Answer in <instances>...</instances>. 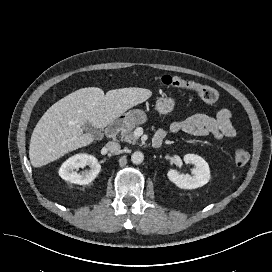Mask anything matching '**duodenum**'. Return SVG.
<instances>
[{
	"instance_id": "duodenum-1",
	"label": "duodenum",
	"mask_w": 272,
	"mask_h": 272,
	"mask_svg": "<svg viewBox=\"0 0 272 272\" xmlns=\"http://www.w3.org/2000/svg\"><path fill=\"white\" fill-rule=\"evenodd\" d=\"M121 128V122L119 120L112 121L106 128V137L109 140H112L116 137L117 133ZM163 139L161 137L155 136L152 141V146L155 149H159L162 147Z\"/></svg>"
}]
</instances>
